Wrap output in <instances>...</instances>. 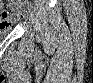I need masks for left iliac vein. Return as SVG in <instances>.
I'll return each mask as SVG.
<instances>
[{
  "instance_id": "obj_1",
  "label": "left iliac vein",
  "mask_w": 93,
  "mask_h": 83,
  "mask_svg": "<svg viewBox=\"0 0 93 83\" xmlns=\"http://www.w3.org/2000/svg\"><path fill=\"white\" fill-rule=\"evenodd\" d=\"M23 16H24V18L26 20L29 19V17H30V11H29V9L24 10Z\"/></svg>"
}]
</instances>
